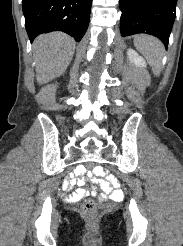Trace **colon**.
<instances>
[{"instance_id": "obj_1", "label": "colon", "mask_w": 183, "mask_h": 246, "mask_svg": "<svg viewBox=\"0 0 183 246\" xmlns=\"http://www.w3.org/2000/svg\"><path fill=\"white\" fill-rule=\"evenodd\" d=\"M92 167H96V162H85V169H92ZM81 210L86 217L93 218L97 214L96 203L92 199H87L82 204Z\"/></svg>"}]
</instances>
